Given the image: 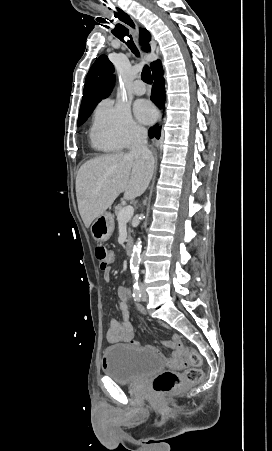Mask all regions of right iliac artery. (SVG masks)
<instances>
[{"label": "right iliac artery", "mask_w": 272, "mask_h": 451, "mask_svg": "<svg viewBox=\"0 0 272 451\" xmlns=\"http://www.w3.org/2000/svg\"><path fill=\"white\" fill-rule=\"evenodd\" d=\"M132 296L135 301H137V302L141 301V290H140V286L137 282L133 285Z\"/></svg>", "instance_id": "82829eb1"}]
</instances>
